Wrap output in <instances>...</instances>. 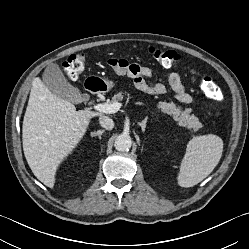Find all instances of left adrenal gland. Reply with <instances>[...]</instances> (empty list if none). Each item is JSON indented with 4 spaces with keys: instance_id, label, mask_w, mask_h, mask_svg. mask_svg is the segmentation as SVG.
I'll use <instances>...</instances> for the list:
<instances>
[{
    "instance_id": "a2214340",
    "label": "left adrenal gland",
    "mask_w": 249,
    "mask_h": 249,
    "mask_svg": "<svg viewBox=\"0 0 249 249\" xmlns=\"http://www.w3.org/2000/svg\"><path fill=\"white\" fill-rule=\"evenodd\" d=\"M147 120H148V117H146L144 120H142L140 123H138L139 126H141V128H142V132H145Z\"/></svg>"
}]
</instances>
